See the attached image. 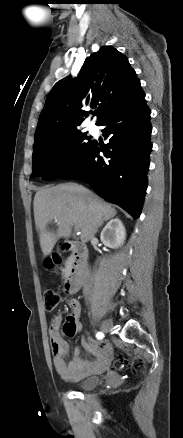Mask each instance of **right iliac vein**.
<instances>
[{
  "label": "right iliac vein",
  "instance_id": "right-iliac-vein-1",
  "mask_svg": "<svg viewBox=\"0 0 183 438\" xmlns=\"http://www.w3.org/2000/svg\"><path fill=\"white\" fill-rule=\"evenodd\" d=\"M112 328V322L109 320H104L101 323V329L103 332H109L110 329Z\"/></svg>",
  "mask_w": 183,
  "mask_h": 438
}]
</instances>
